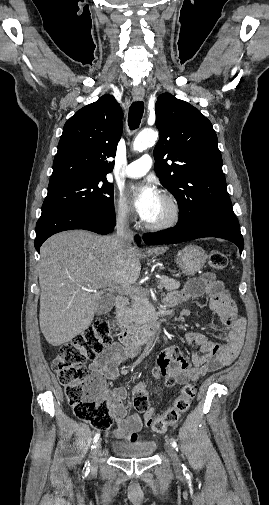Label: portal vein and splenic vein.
<instances>
[{"label":"portal vein and splenic vein","mask_w":269,"mask_h":505,"mask_svg":"<svg viewBox=\"0 0 269 505\" xmlns=\"http://www.w3.org/2000/svg\"><path fill=\"white\" fill-rule=\"evenodd\" d=\"M116 290H118V292H121V293L123 292L126 294H131L136 290V288L121 286V287H116ZM90 291L95 292L96 290L91 289Z\"/></svg>","instance_id":"obj_1"}]
</instances>
